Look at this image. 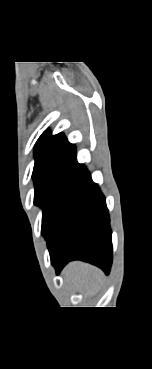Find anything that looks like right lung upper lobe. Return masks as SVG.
<instances>
[{
  "mask_svg": "<svg viewBox=\"0 0 152 369\" xmlns=\"http://www.w3.org/2000/svg\"><path fill=\"white\" fill-rule=\"evenodd\" d=\"M34 154V169L53 165L78 164L75 145L69 143L63 133L53 136L49 130H46L38 139Z\"/></svg>",
  "mask_w": 152,
  "mask_h": 369,
  "instance_id": "1",
  "label": "right lung upper lobe"
}]
</instances>
